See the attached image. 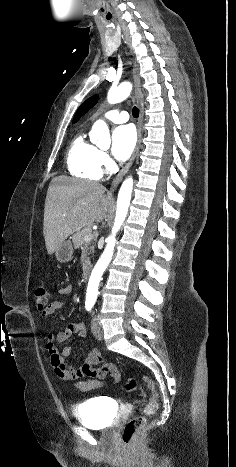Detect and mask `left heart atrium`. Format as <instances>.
Instances as JSON below:
<instances>
[{
	"mask_svg": "<svg viewBox=\"0 0 236 467\" xmlns=\"http://www.w3.org/2000/svg\"><path fill=\"white\" fill-rule=\"evenodd\" d=\"M136 143V135L131 125H120L113 130L111 152L113 157L123 162L129 158Z\"/></svg>",
	"mask_w": 236,
	"mask_h": 467,
	"instance_id": "39dd6f15",
	"label": "left heart atrium"
}]
</instances>
